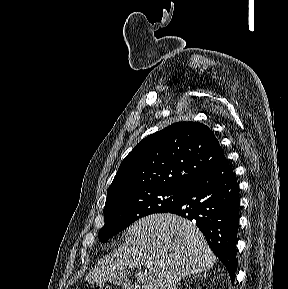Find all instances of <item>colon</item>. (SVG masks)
I'll return each mask as SVG.
<instances>
[{"label": "colon", "mask_w": 288, "mask_h": 289, "mask_svg": "<svg viewBox=\"0 0 288 289\" xmlns=\"http://www.w3.org/2000/svg\"><path fill=\"white\" fill-rule=\"evenodd\" d=\"M95 289H105V288H101V287L99 288V287H98V288H95Z\"/></svg>", "instance_id": "colon-1"}]
</instances>
